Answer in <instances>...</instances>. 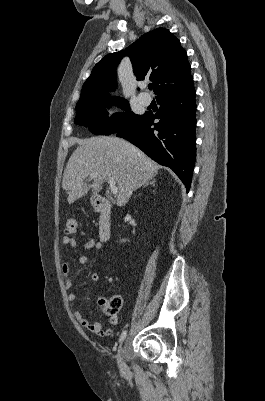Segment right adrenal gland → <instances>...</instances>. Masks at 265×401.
I'll list each match as a JSON object with an SVG mask.
<instances>
[{"instance_id":"2a0ac1e0","label":"right adrenal gland","mask_w":265,"mask_h":401,"mask_svg":"<svg viewBox=\"0 0 265 401\" xmlns=\"http://www.w3.org/2000/svg\"><path fill=\"white\" fill-rule=\"evenodd\" d=\"M155 182L156 180H150V182H145V184H143V188H145V186H148V184H152V186H155Z\"/></svg>"}]
</instances>
